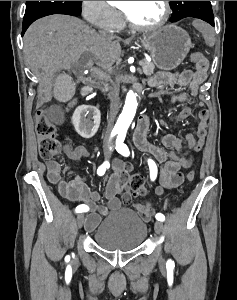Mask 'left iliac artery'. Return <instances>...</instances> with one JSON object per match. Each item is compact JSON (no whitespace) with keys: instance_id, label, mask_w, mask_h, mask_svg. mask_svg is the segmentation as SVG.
<instances>
[{"instance_id":"44dca946","label":"left iliac artery","mask_w":237,"mask_h":300,"mask_svg":"<svg viewBox=\"0 0 237 300\" xmlns=\"http://www.w3.org/2000/svg\"><path fill=\"white\" fill-rule=\"evenodd\" d=\"M125 136H126L125 132H123V133L120 132L118 134V137L116 139V147L115 148L121 155L127 157L130 155V151H129L127 145L123 143ZM148 165H149V169H150V178L152 181H154L157 177V166H156L155 162L151 159H148ZM156 219L158 221H164L165 216L161 213H158V214H156ZM166 266L174 267L175 265L172 260H168Z\"/></svg>"}]
</instances>
